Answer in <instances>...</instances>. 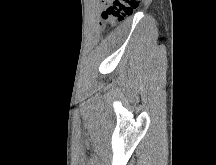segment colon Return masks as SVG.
Wrapping results in <instances>:
<instances>
[{"instance_id": "obj_1", "label": "colon", "mask_w": 216, "mask_h": 165, "mask_svg": "<svg viewBox=\"0 0 216 165\" xmlns=\"http://www.w3.org/2000/svg\"><path fill=\"white\" fill-rule=\"evenodd\" d=\"M139 5L140 0H111L108 7L102 12L101 20L115 25L131 16Z\"/></svg>"}]
</instances>
